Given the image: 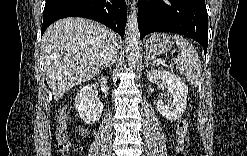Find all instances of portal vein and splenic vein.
<instances>
[{"mask_svg": "<svg viewBox=\"0 0 247 156\" xmlns=\"http://www.w3.org/2000/svg\"><path fill=\"white\" fill-rule=\"evenodd\" d=\"M161 63H164L165 64V61H161Z\"/></svg>", "mask_w": 247, "mask_h": 156, "instance_id": "18ae733b", "label": "portal vein and splenic vein"}]
</instances>
